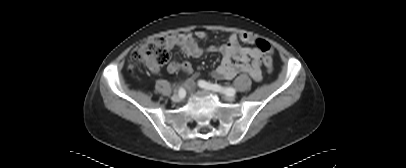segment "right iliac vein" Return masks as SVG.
Masks as SVG:
<instances>
[{"mask_svg":"<svg viewBox=\"0 0 406 168\" xmlns=\"http://www.w3.org/2000/svg\"><path fill=\"white\" fill-rule=\"evenodd\" d=\"M181 99H182L181 96L178 95V94H175V95H173V96L171 97V100H172L173 102H180Z\"/></svg>","mask_w":406,"mask_h":168,"instance_id":"right-iliac-vein-1","label":"right iliac vein"}]
</instances>
